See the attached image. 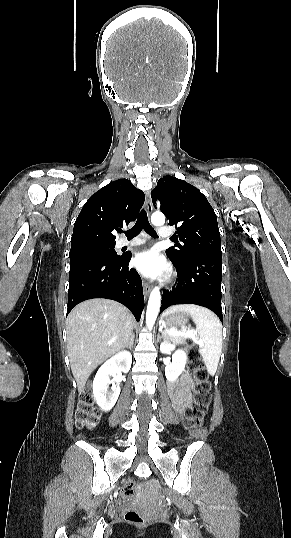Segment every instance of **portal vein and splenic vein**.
Wrapping results in <instances>:
<instances>
[{
  "label": "portal vein and splenic vein",
  "mask_w": 291,
  "mask_h": 538,
  "mask_svg": "<svg viewBox=\"0 0 291 538\" xmlns=\"http://www.w3.org/2000/svg\"><path fill=\"white\" fill-rule=\"evenodd\" d=\"M168 334L170 335H181V336H185V337H188V338H191L195 343L199 344V345H202L203 343L198 340L195 336V332L194 331H186V332H179V331H172V330H168L167 331Z\"/></svg>",
  "instance_id": "portal-vein-and-splenic-vein-1"
}]
</instances>
